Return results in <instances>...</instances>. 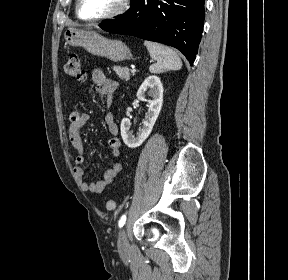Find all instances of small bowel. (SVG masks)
Returning <instances> with one entry per match:
<instances>
[{
  "instance_id": "1",
  "label": "small bowel",
  "mask_w": 288,
  "mask_h": 280,
  "mask_svg": "<svg viewBox=\"0 0 288 280\" xmlns=\"http://www.w3.org/2000/svg\"><path fill=\"white\" fill-rule=\"evenodd\" d=\"M98 92L105 96L108 104V111L105 117L106 129L110 135L108 140V148L113 157V163L102 179L97 182H90L85 179V163H86V146L81 136V130L89 121V115L81 111H73L69 116L68 138L69 144L75 153V177L80 188L85 192L101 193L111 184L117 175L122 171V163L118 160L121 152V140L119 138V127L114 120L113 112L110 108L116 90L117 82L109 79L101 69H93L91 73Z\"/></svg>"
}]
</instances>
